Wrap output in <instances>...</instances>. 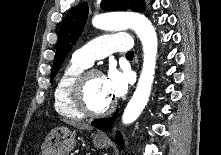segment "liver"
Masks as SVG:
<instances>
[{"label":"liver","instance_id":"1","mask_svg":"<svg viewBox=\"0 0 221 155\" xmlns=\"http://www.w3.org/2000/svg\"><path fill=\"white\" fill-rule=\"evenodd\" d=\"M63 122L74 126L78 129H87V130H91L92 126H90L89 124L83 123V122H78V121H74V120H68V119H63Z\"/></svg>","mask_w":221,"mask_h":155}]
</instances>
